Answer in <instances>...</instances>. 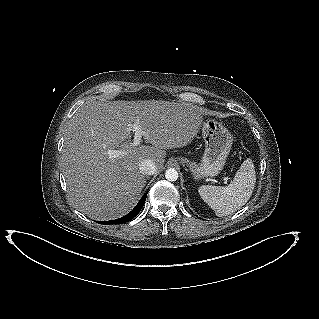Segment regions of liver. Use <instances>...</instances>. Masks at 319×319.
<instances>
[{
	"label": "liver",
	"instance_id": "1",
	"mask_svg": "<svg viewBox=\"0 0 319 319\" xmlns=\"http://www.w3.org/2000/svg\"><path fill=\"white\" fill-rule=\"evenodd\" d=\"M139 120L152 146L131 147V125ZM203 118L190 103L164 100L87 101L72 117L64 135L61 167L68 200L98 221L127 214L146 184L139 164L152 160L162 169L166 149L184 147L197 135ZM125 150L120 158L112 150Z\"/></svg>",
	"mask_w": 319,
	"mask_h": 319
}]
</instances>
